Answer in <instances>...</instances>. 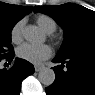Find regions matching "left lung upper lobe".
I'll return each mask as SVG.
<instances>
[{
  "mask_svg": "<svg viewBox=\"0 0 95 95\" xmlns=\"http://www.w3.org/2000/svg\"><path fill=\"white\" fill-rule=\"evenodd\" d=\"M35 12L51 16L59 23L65 40L57 56L69 58L82 53H95V12L81 5L35 6Z\"/></svg>",
  "mask_w": 95,
  "mask_h": 95,
  "instance_id": "5c2ea615",
  "label": "left lung upper lobe"
}]
</instances>
